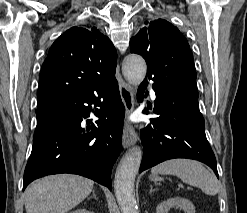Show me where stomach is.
Wrapping results in <instances>:
<instances>
[{"mask_svg": "<svg viewBox=\"0 0 247 213\" xmlns=\"http://www.w3.org/2000/svg\"><path fill=\"white\" fill-rule=\"evenodd\" d=\"M150 179H151L152 181H157V180H158V176H157V175H151V176H150Z\"/></svg>", "mask_w": 247, "mask_h": 213, "instance_id": "obj_1", "label": "stomach"}]
</instances>
